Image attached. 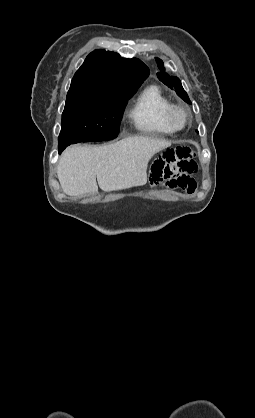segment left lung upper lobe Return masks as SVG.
<instances>
[{
  "label": "left lung upper lobe",
  "instance_id": "left-lung-upper-lobe-1",
  "mask_svg": "<svg viewBox=\"0 0 255 418\" xmlns=\"http://www.w3.org/2000/svg\"><path fill=\"white\" fill-rule=\"evenodd\" d=\"M157 65L160 69V72L157 74V77L160 81H162L165 85H167L169 88L174 89L177 93V95L182 98L186 103L191 104V101L183 89L181 85V81L178 77L175 76H169L167 73H165V68L163 66V62L161 59L156 58Z\"/></svg>",
  "mask_w": 255,
  "mask_h": 418
}]
</instances>
